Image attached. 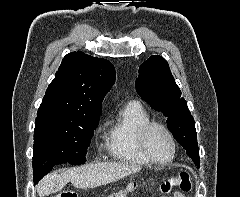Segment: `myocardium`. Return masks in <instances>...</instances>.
I'll return each instance as SVG.
<instances>
[{"mask_svg":"<svg viewBox=\"0 0 240 197\" xmlns=\"http://www.w3.org/2000/svg\"><path fill=\"white\" fill-rule=\"evenodd\" d=\"M156 127L161 128L162 130L165 131V133L169 137L171 144H172V154L169 159L164 160V161L155 159L152 156V154L150 153L149 148H148V143H147L148 135H149L150 131ZM137 141H138V146H139V149H140L142 155L152 164L159 165V166H165V165L172 163L176 157V154H177L176 139H175L172 131L170 130V128L162 122L150 120L149 122L145 123L138 131Z\"/></svg>","mask_w":240,"mask_h":197,"instance_id":"1","label":"myocardium"}]
</instances>
